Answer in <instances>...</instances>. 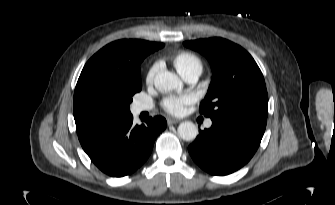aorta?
<instances>
[{"mask_svg": "<svg viewBox=\"0 0 335 205\" xmlns=\"http://www.w3.org/2000/svg\"><path fill=\"white\" fill-rule=\"evenodd\" d=\"M154 85L157 90L166 92L181 88L182 82L176 74L169 71H161L155 76ZM178 135L185 141H192L198 135V128L190 121L183 122L178 126Z\"/></svg>", "mask_w": 335, "mask_h": 205, "instance_id": "762f6f07", "label": "aorta"}]
</instances>
